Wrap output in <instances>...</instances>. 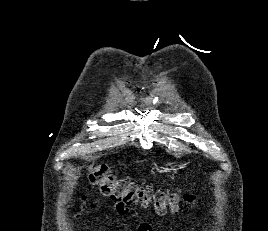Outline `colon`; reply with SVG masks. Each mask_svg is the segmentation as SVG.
<instances>
[{
	"instance_id": "obj_1",
	"label": "colon",
	"mask_w": 268,
	"mask_h": 231,
	"mask_svg": "<svg viewBox=\"0 0 268 231\" xmlns=\"http://www.w3.org/2000/svg\"><path fill=\"white\" fill-rule=\"evenodd\" d=\"M88 173L91 182L98 185L106 196L119 202L123 208L130 204L141 203L153 205L160 213L167 211L177 213L183 204L192 206L195 203V197L192 194H185L181 198L176 193L155 191L134 182L118 179L102 164L90 165Z\"/></svg>"
}]
</instances>
